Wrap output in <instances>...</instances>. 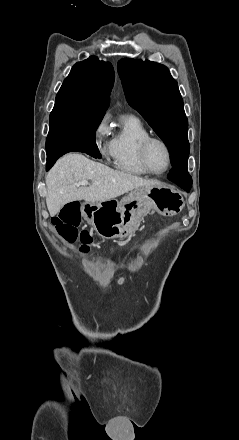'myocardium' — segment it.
<instances>
[{"label": "myocardium", "instance_id": "myocardium-1", "mask_svg": "<svg viewBox=\"0 0 239 440\" xmlns=\"http://www.w3.org/2000/svg\"><path fill=\"white\" fill-rule=\"evenodd\" d=\"M153 143H159L161 144L164 149L166 150L167 153V159H168V163H167V167L165 168V170L161 171V172H156L152 169L150 162H149V148ZM139 157H140V161L143 165V167L146 169V171L151 174V175H155V176H161L166 174L172 165V152H171V148L169 146V144L162 139L161 137L158 136H148L146 138H144L139 145Z\"/></svg>", "mask_w": 239, "mask_h": 440}]
</instances>
